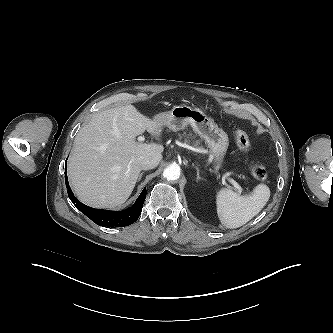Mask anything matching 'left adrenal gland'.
Here are the masks:
<instances>
[{"mask_svg":"<svg viewBox=\"0 0 333 333\" xmlns=\"http://www.w3.org/2000/svg\"><path fill=\"white\" fill-rule=\"evenodd\" d=\"M194 168L196 169V172H197L196 181L198 182L199 180H203V178H201L200 175H199V169H198V167H194Z\"/></svg>","mask_w":333,"mask_h":333,"instance_id":"obj_1","label":"left adrenal gland"}]
</instances>
